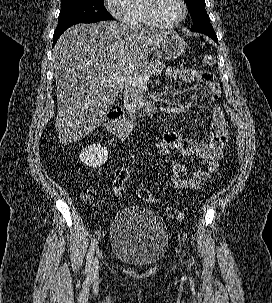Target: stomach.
Here are the masks:
<instances>
[{
    "mask_svg": "<svg viewBox=\"0 0 272 303\" xmlns=\"http://www.w3.org/2000/svg\"><path fill=\"white\" fill-rule=\"evenodd\" d=\"M187 45L184 40L175 32H170L157 46L155 53L160 59H175L182 56Z\"/></svg>",
    "mask_w": 272,
    "mask_h": 303,
    "instance_id": "1",
    "label": "stomach"
}]
</instances>
